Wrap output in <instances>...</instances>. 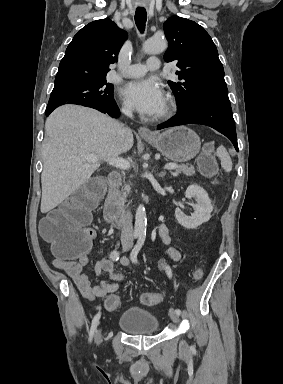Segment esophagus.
I'll return each mask as SVG.
<instances>
[{
	"label": "esophagus",
	"mask_w": 283,
	"mask_h": 384,
	"mask_svg": "<svg viewBox=\"0 0 283 384\" xmlns=\"http://www.w3.org/2000/svg\"><path fill=\"white\" fill-rule=\"evenodd\" d=\"M138 132L142 137H155V133L151 132L147 127H140Z\"/></svg>",
	"instance_id": "esophagus-1"
}]
</instances>
